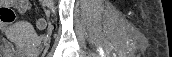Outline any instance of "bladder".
<instances>
[{"label": "bladder", "mask_w": 172, "mask_h": 57, "mask_svg": "<svg viewBox=\"0 0 172 57\" xmlns=\"http://www.w3.org/2000/svg\"><path fill=\"white\" fill-rule=\"evenodd\" d=\"M1 57H21L16 54V52H11V53H2L0 54Z\"/></svg>", "instance_id": "31cf9c89"}]
</instances>
